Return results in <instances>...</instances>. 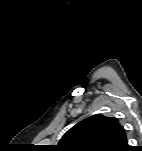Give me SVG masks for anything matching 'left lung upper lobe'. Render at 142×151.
Here are the masks:
<instances>
[{"label": "left lung upper lobe", "mask_w": 142, "mask_h": 151, "mask_svg": "<svg viewBox=\"0 0 142 151\" xmlns=\"http://www.w3.org/2000/svg\"><path fill=\"white\" fill-rule=\"evenodd\" d=\"M58 147L65 151H127L130 148L118 120L101 114L73 126L61 138Z\"/></svg>", "instance_id": "5c2ea615"}]
</instances>
